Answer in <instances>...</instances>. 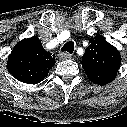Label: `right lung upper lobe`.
Wrapping results in <instances>:
<instances>
[{
	"instance_id": "1",
	"label": "right lung upper lobe",
	"mask_w": 127,
	"mask_h": 127,
	"mask_svg": "<svg viewBox=\"0 0 127 127\" xmlns=\"http://www.w3.org/2000/svg\"><path fill=\"white\" fill-rule=\"evenodd\" d=\"M55 65V57L45 51L38 37L18 42L8 57L7 69L17 80L36 84L47 77Z\"/></svg>"
}]
</instances>
